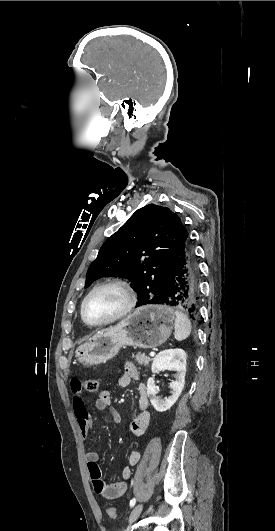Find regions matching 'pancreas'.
Returning a JSON list of instances; mask_svg holds the SVG:
<instances>
[{
	"instance_id": "obj_1",
	"label": "pancreas",
	"mask_w": 275,
	"mask_h": 531,
	"mask_svg": "<svg viewBox=\"0 0 275 531\" xmlns=\"http://www.w3.org/2000/svg\"><path fill=\"white\" fill-rule=\"evenodd\" d=\"M137 361L138 365H144V367H148L150 361H153V359H150V357H147V355H144V353H137V355H132V359Z\"/></svg>"
}]
</instances>
